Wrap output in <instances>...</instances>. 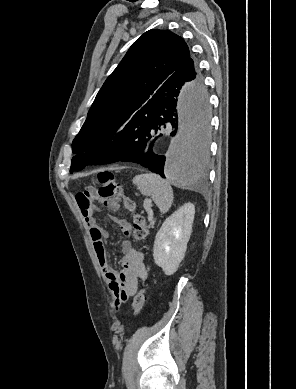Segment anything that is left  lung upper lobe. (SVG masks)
<instances>
[{
	"label": "left lung upper lobe",
	"mask_w": 296,
	"mask_h": 389,
	"mask_svg": "<svg viewBox=\"0 0 296 389\" xmlns=\"http://www.w3.org/2000/svg\"><path fill=\"white\" fill-rule=\"evenodd\" d=\"M192 75L201 80L185 41L169 30L142 34L98 92L85 123L72 142L70 172L98 165L99 152L171 76ZM84 152V153H83Z\"/></svg>",
	"instance_id": "left-lung-upper-lobe-1"
}]
</instances>
